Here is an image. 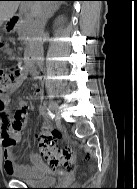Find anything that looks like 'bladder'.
Segmentation results:
<instances>
[{
  "label": "bladder",
  "instance_id": "1",
  "mask_svg": "<svg viewBox=\"0 0 137 189\" xmlns=\"http://www.w3.org/2000/svg\"><path fill=\"white\" fill-rule=\"evenodd\" d=\"M20 180L42 185H52L56 183V174L46 166L34 167L27 175H16Z\"/></svg>",
  "mask_w": 137,
  "mask_h": 189
}]
</instances>
